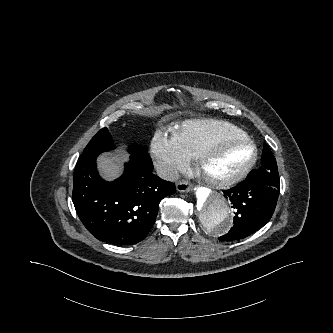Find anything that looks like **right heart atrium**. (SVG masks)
I'll return each instance as SVG.
<instances>
[{"label": "right heart atrium", "instance_id": "obj_1", "mask_svg": "<svg viewBox=\"0 0 333 333\" xmlns=\"http://www.w3.org/2000/svg\"><path fill=\"white\" fill-rule=\"evenodd\" d=\"M150 152L158 174L173 180L189 165V159L182 153L172 137L157 132L151 141Z\"/></svg>", "mask_w": 333, "mask_h": 333}]
</instances>
